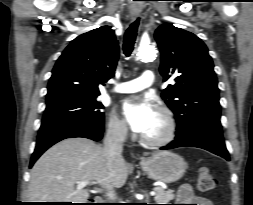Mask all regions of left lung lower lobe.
I'll use <instances>...</instances> for the list:
<instances>
[{"label": "left lung lower lobe", "mask_w": 253, "mask_h": 205, "mask_svg": "<svg viewBox=\"0 0 253 205\" xmlns=\"http://www.w3.org/2000/svg\"><path fill=\"white\" fill-rule=\"evenodd\" d=\"M186 146L202 148L219 155L228 161L230 160L224 143L222 126L220 123L211 121L201 122L184 137L176 135L174 141L169 145L162 147L161 150Z\"/></svg>", "instance_id": "left-lung-lower-lobe-1"}]
</instances>
